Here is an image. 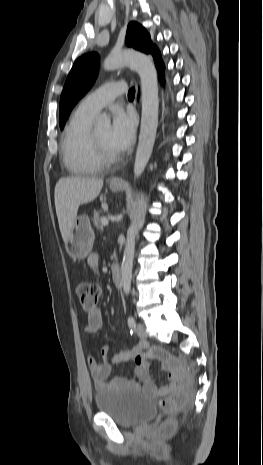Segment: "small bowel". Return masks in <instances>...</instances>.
Segmentation results:
<instances>
[{
	"label": "small bowel",
	"mask_w": 263,
	"mask_h": 465,
	"mask_svg": "<svg viewBox=\"0 0 263 465\" xmlns=\"http://www.w3.org/2000/svg\"><path fill=\"white\" fill-rule=\"evenodd\" d=\"M88 267L91 270H96L99 266V256L91 254L87 259ZM103 323L102 311L99 308L88 312L87 324L84 327V333L87 335L96 334ZM145 344H138L127 351L116 353L112 358L108 355V346H104L101 350L102 361L98 362L93 356L87 358L88 368L93 379L96 389H104L107 387H128L134 389H143L144 391L156 395L158 389L150 378L149 370L143 358ZM135 363V374L141 383L122 377L114 376L109 380L112 364L120 363Z\"/></svg>",
	"instance_id": "1"
}]
</instances>
